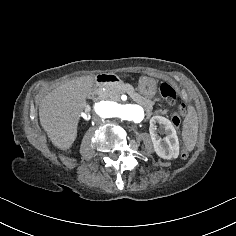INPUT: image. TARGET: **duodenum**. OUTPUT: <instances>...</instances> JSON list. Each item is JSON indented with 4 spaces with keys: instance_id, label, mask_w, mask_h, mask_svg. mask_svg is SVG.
Here are the masks:
<instances>
[{
    "instance_id": "obj_1",
    "label": "duodenum",
    "mask_w": 236,
    "mask_h": 236,
    "mask_svg": "<svg viewBox=\"0 0 236 236\" xmlns=\"http://www.w3.org/2000/svg\"><path fill=\"white\" fill-rule=\"evenodd\" d=\"M120 81V78L111 73H101L98 74L94 80L95 85H104V84H110V83H117Z\"/></svg>"
}]
</instances>
